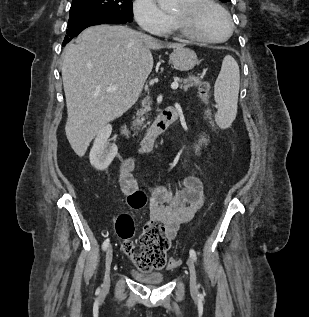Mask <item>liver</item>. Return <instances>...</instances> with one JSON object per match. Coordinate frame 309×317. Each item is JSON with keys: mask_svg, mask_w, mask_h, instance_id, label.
Masks as SVG:
<instances>
[{"mask_svg": "<svg viewBox=\"0 0 309 317\" xmlns=\"http://www.w3.org/2000/svg\"><path fill=\"white\" fill-rule=\"evenodd\" d=\"M164 45L125 26L96 25L85 29L64 49L62 79L67 104L65 132L82 157L92 139L138 99L153 68L151 49ZM179 49L184 44L168 43ZM111 85L117 89L107 92Z\"/></svg>", "mask_w": 309, "mask_h": 317, "instance_id": "1", "label": "liver"}]
</instances>
